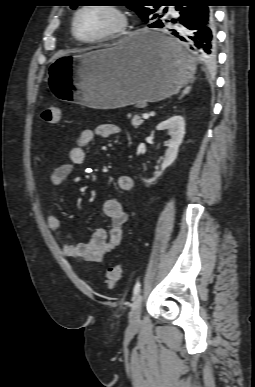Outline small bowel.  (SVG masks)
Masks as SVG:
<instances>
[{
  "label": "small bowel",
  "mask_w": 255,
  "mask_h": 387,
  "mask_svg": "<svg viewBox=\"0 0 255 387\" xmlns=\"http://www.w3.org/2000/svg\"><path fill=\"white\" fill-rule=\"evenodd\" d=\"M120 128L113 123H102L95 128L81 131L75 145L70 149L68 161L52 168L49 174L53 186L64 184L71 176L76 166L82 165L87 160V147L97 138H108L117 135ZM117 187L122 192H128L133 187L130 176L122 175L117 179ZM102 212L109 221L108 230L96 229L88 242L63 245V254L67 257L89 264H100L106 254L114 249L122 240L123 226L128 218V213L123 204L117 199H108L103 203ZM47 224L51 230L60 227L59 217L51 213L47 217Z\"/></svg>",
  "instance_id": "1"
}]
</instances>
